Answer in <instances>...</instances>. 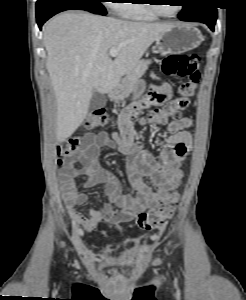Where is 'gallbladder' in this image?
I'll list each match as a JSON object with an SVG mask.
<instances>
[{
	"instance_id": "gallbladder-1",
	"label": "gallbladder",
	"mask_w": 246,
	"mask_h": 300,
	"mask_svg": "<svg viewBox=\"0 0 246 300\" xmlns=\"http://www.w3.org/2000/svg\"><path fill=\"white\" fill-rule=\"evenodd\" d=\"M105 105H106L105 96L102 93L94 90L92 93V97L90 99L89 110L94 111L103 108Z\"/></svg>"
}]
</instances>
